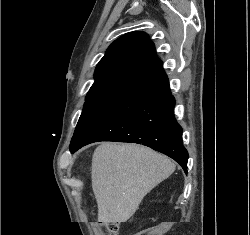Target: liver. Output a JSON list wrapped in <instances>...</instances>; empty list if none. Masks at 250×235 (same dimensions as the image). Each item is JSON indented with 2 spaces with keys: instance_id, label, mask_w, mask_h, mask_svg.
Masks as SVG:
<instances>
[{
  "instance_id": "1",
  "label": "liver",
  "mask_w": 250,
  "mask_h": 235,
  "mask_svg": "<svg viewBox=\"0 0 250 235\" xmlns=\"http://www.w3.org/2000/svg\"><path fill=\"white\" fill-rule=\"evenodd\" d=\"M174 162L136 144L102 143L92 156V189L98 221L126 222L157 184L175 171Z\"/></svg>"
}]
</instances>
